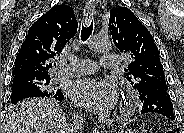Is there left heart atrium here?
Returning <instances> with one entry per match:
<instances>
[{
	"label": "left heart atrium",
	"instance_id": "obj_1",
	"mask_svg": "<svg viewBox=\"0 0 184 133\" xmlns=\"http://www.w3.org/2000/svg\"><path fill=\"white\" fill-rule=\"evenodd\" d=\"M70 95L77 105L93 113L101 114L115 106L118 89L112 81L86 78L72 83Z\"/></svg>",
	"mask_w": 184,
	"mask_h": 133
}]
</instances>
